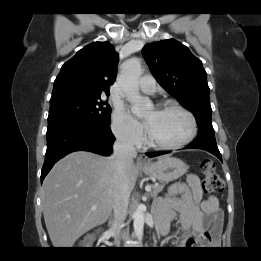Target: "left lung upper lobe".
Instances as JSON below:
<instances>
[{
	"label": "left lung upper lobe",
	"instance_id": "5c2ea615",
	"mask_svg": "<svg viewBox=\"0 0 261 261\" xmlns=\"http://www.w3.org/2000/svg\"><path fill=\"white\" fill-rule=\"evenodd\" d=\"M142 53L158 83L195 116L198 135L214 134L202 62L188 47L173 39L147 44Z\"/></svg>",
	"mask_w": 261,
	"mask_h": 261
}]
</instances>
